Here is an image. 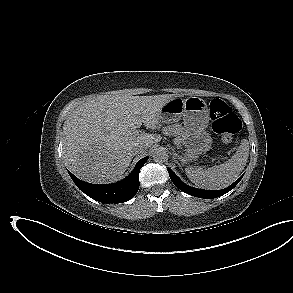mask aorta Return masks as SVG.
<instances>
[{"label": "aorta", "instance_id": "762f6f07", "mask_svg": "<svg viewBox=\"0 0 293 293\" xmlns=\"http://www.w3.org/2000/svg\"><path fill=\"white\" fill-rule=\"evenodd\" d=\"M152 157L155 162H161L167 158V153L164 149L158 148L153 152Z\"/></svg>", "mask_w": 293, "mask_h": 293}]
</instances>
